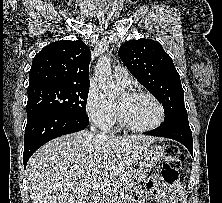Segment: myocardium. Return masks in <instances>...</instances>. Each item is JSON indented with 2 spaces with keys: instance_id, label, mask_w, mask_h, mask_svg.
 <instances>
[{
  "instance_id": "myocardium-1",
  "label": "myocardium",
  "mask_w": 222,
  "mask_h": 203,
  "mask_svg": "<svg viewBox=\"0 0 222 203\" xmlns=\"http://www.w3.org/2000/svg\"><path fill=\"white\" fill-rule=\"evenodd\" d=\"M125 95L130 98L144 96V97H148L149 99H151L158 107L159 118L157 119V121L155 123H153L149 126H143V127L136 126L127 120V118L124 116L121 109L117 106L119 120H120L121 125L124 128L134 131V132H148V131L156 129L157 127H159L163 123V121L165 119L164 107H163L162 103L153 94L146 92V91H133V92H127V93H125Z\"/></svg>"
}]
</instances>
